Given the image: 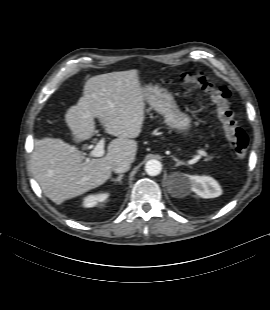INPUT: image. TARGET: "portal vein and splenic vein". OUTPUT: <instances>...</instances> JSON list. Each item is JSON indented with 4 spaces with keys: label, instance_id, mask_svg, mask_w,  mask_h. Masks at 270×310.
<instances>
[{
    "label": "portal vein and splenic vein",
    "instance_id": "portal-vein-and-splenic-vein-1",
    "mask_svg": "<svg viewBox=\"0 0 270 310\" xmlns=\"http://www.w3.org/2000/svg\"><path fill=\"white\" fill-rule=\"evenodd\" d=\"M104 145H105V139L102 138L99 140V142L96 144L94 149L90 152V157H102L105 153L104 150ZM200 156L207 157V153L203 150H197L196 151Z\"/></svg>",
    "mask_w": 270,
    "mask_h": 310
}]
</instances>
